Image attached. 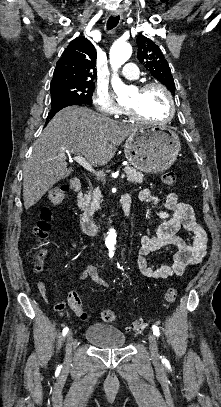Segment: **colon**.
<instances>
[{"instance_id": "colon-1", "label": "colon", "mask_w": 221, "mask_h": 407, "mask_svg": "<svg viewBox=\"0 0 221 407\" xmlns=\"http://www.w3.org/2000/svg\"><path fill=\"white\" fill-rule=\"evenodd\" d=\"M177 181V174L173 170H168L164 172L161 176V182L164 185H173ZM66 186H61V187H54L48 190V198L50 202L53 205H58L60 204L65 197V193L67 191ZM50 217V212L45 210L43 212V218L40 220L37 225L34 228V234L36 237L39 238H44L47 236L48 231L50 229V224L48 223V219ZM43 256H44V251H40L36 257L35 260V267L36 268H41L43 265ZM177 297V290L174 287H168L165 292V300L167 304H171L175 301ZM69 305L72 309V311L80 318V319H86L87 318V313L84 311L81 301L78 298H74L71 302H69ZM101 317L104 322L107 323H113L117 320L118 316L116 311L112 309H104L101 312ZM129 331H132L136 334H141L145 331L146 329V323L144 320H135L133 321L130 326H129Z\"/></svg>"}]
</instances>
